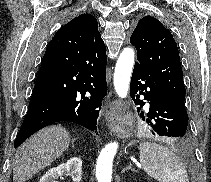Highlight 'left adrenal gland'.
I'll return each instance as SVG.
<instances>
[{"mask_svg": "<svg viewBox=\"0 0 211 182\" xmlns=\"http://www.w3.org/2000/svg\"><path fill=\"white\" fill-rule=\"evenodd\" d=\"M127 170H131V171H136L134 168H132V163L130 162L129 165L127 167H125L123 170H122V173H124L125 171Z\"/></svg>", "mask_w": 211, "mask_h": 182, "instance_id": "a2214340", "label": "left adrenal gland"}]
</instances>
